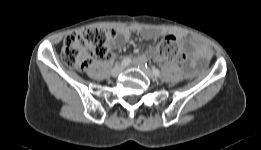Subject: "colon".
<instances>
[{
    "label": "colon",
    "mask_w": 261,
    "mask_h": 150,
    "mask_svg": "<svg viewBox=\"0 0 261 150\" xmlns=\"http://www.w3.org/2000/svg\"><path fill=\"white\" fill-rule=\"evenodd\" d=\"M114 36L111 29L88 27L66 37L61 51V60L67 68L86 70L96 58H105L109 43ZM157 60L184 62L185 55L179 41L173 36L161 39L151 50Z\"/></svg>",
    "instance_id": "5ec220e1"
}]
</instances>
